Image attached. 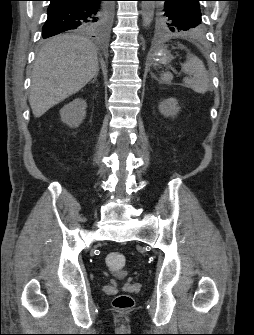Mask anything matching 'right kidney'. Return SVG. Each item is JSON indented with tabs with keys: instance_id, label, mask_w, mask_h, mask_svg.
Returning <instances> with one entry per match:
<instances>
[{
	"instance_id": "right-kidney-1",
	"label": "right kidney",
	"mask_w": 254,
	"mask_h": 335,
	"mask_svg": "<svg viewBox=\"0 0 254 335\" xmlns=\"http://www.w3.org/2000/svg\"><path fill=\"white\" fill-rule=\"evenodd\" d=\"M87 103L82 98H76L60 110L61 121L69 127H78L86 115Z\"/></svg>"
}]
</instances>
